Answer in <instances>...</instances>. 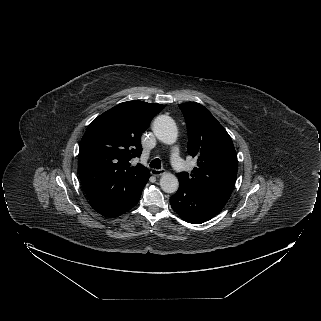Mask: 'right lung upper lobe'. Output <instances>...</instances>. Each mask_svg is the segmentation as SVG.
Segmentation results:
<instances>
[{
	"label": "right lung upper lobe",
	"instance_id": "obj_1",
	"mask_svg": "<svg viewBox=\"0 0 321 321\" xmlns=\"http://www.w3.org/2000/svg\"><path fill=\"white\" fill-rule=\"evenodd\" d=\"M164 105L123 102L98 116L87 128L79 147V177L88 199L132 193L150 177L132 158L142 153L141 134Z\"/></svg>",
	"mask_w": 321,
	"mask_h": 321
}]
</instances>
